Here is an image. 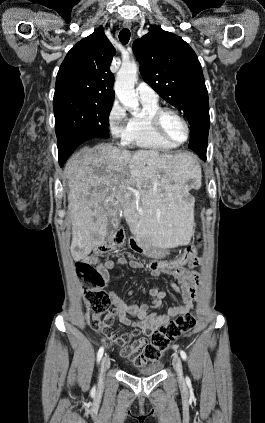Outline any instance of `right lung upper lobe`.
I'll return each mask as SVG.
<instances>
[{
	"label": "right lung upper lobe",
	"mask_w": 265,
	"mask_h": 423,
	"mask_svg": "<svg viewBox=\"0 0 265 423\" xmlns=\"http://www.w3.org/2000/svg\"><path fill=\"white\" fill-rule=\"evenodd\" d=\"M115 48L99 27L66 55L56 78L54 100L83 98L103 103L114 100L110 71Z\"/></svg>",
	"instance_id": "cb5924a9"
}]
</instances>
